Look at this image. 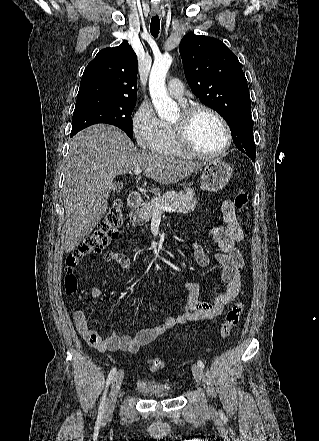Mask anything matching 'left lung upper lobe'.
<instances>
[{
  "mask_svg": "<svg viewBox=\"0 0 319 441\" xmlns=\"http://www.w3.org/2000/svg\"><path fill=\"white\" fill-rule=\"evenodd\" d=\"M179 51L193 93L225 119L236 147L255 161L251 100L238 58L222 41L193 32Z\"/></svg>",
  "mask_w": 319,
  "mask_h": 441,
  "instance_id": "5c2ea615",
  "label": "left lung upper lobe"
}]
</instances>
